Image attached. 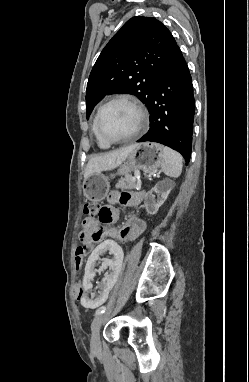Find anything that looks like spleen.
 <instances>
[{
  "label": "spleen",
  "instance_id": "obj_1",
  "mask_svg": "<svg viewBox=\"0 0 249 382\" xmlns=\"http://www.w3.org/2000/svg\"><path fill=\"white\" fill-rule=\"evenodd\" d=\"M163 160L161 163L162 171L165 175L173 178L180 176L182 172V156L169 147H162Z\"/></svg>",
  "mask_w": 249,
  "mask_h": 382
}]
</instances>
